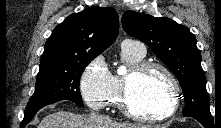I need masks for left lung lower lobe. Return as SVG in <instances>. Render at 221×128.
Returning a JSON list of instances; mask_svg holds the SVG:
<instances>
[{"mask_svg": "<svg viewBox=\"0 0 221 128\" xmlns=\"http://www.w3.org/2000/svg\"><path fill=\"white\" fill-rule=\"evenodd\" d=\"M199 121L205 128H214V119L209 116H190Z\"/></svg>", "mask_w": 221, "mask_h": 128, "instance_id": "left-lung-lower-lobe-1", "label": "left lung lower lobe"}]
</instances>
